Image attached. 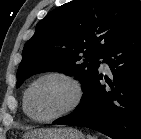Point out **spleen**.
I'll use <instances>...</instances> for the list:
<instances>
[{
	"label": "spleen",
	"instance_id": "3e777b00",
	"mask_svg": "<svg viewBox=\"0 0 141 139\" xmlns=\"http://www.w3.org/2000/svg\"><path fill=\"white\" fill-rule=\"evenodd\" d=\"M87 139H96V138L91 137V136H87Z\"/></svg>",
	"mask_w": 141,
	"mask_h": 139
}]
</instances>
